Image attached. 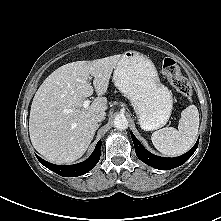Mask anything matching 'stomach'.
<instances>
[{
	"label": "stomach",
	"instance_id": "stomach-1",
	"mask_svg": "<svg viewBox=\"0 0 221 221\" xmlns=\"http://www.w3.org/2000/svg\"><path fill=\"white\" fill-rule=\"evenodd\" d=\"M113 81L130 100L143 130H156L168 122L172 94L160 83L157 69L147 56L126 51L115 67Z\"/></svg>",
	"mask_w": 221,
	"mask_h": 221
}]
</instances>
